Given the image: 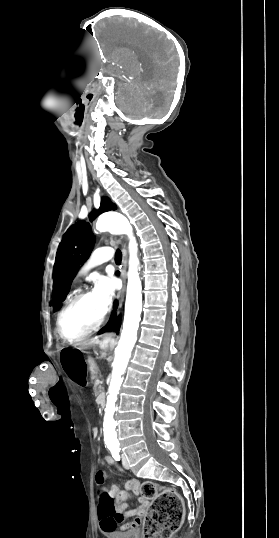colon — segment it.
I'll use <instances>...</instances> for the list:
<instances>
[{"label":"colon","mask_w":279,"mask_h":538,"mask_svg":"<svg viewBox=\"0 0 279 538\" xmlns=\"http://www.w3.org/2000/svg\"><path fill=\"white\" fill-rule=\"evenodd\" d=\"M95 480L98 486L99 516L113 517L116 514V507L104 486L105 477L98 472ZM140 490L144 499L151 500L143 526V538H170L183 521L184 503L181 496L175 489H160L154 482L143 483Z\"/></svg>","instance_id":"obj_1"}]
</instances>
